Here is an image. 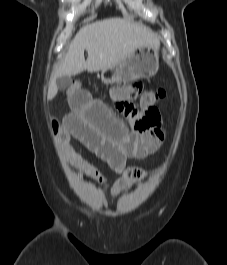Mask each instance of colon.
<instances>
[{
	"mask_svg": "<svg viewBox=\"0 0 227 265\" xmlns=\"http://www.w3.org/2000/svg\"><path fill=\"white\" fill-rule=\"evenodd\" d=\"M70 87H81V85L78 82L72 83L66 89L67 96H70ZM137 88V86H130L128 88L117 87L113 89L112 97L114 103H116V100H119V103H121V99H129L137 91ZM166 94L167 92L163 88L146 91L141 95L139 106H134L135 112H122L131 120L136 132L144 133L160 127L161 117L156 104L163 100ZM52 126L54 131L61 136L62 128L59 123L53 121Z\"/></svg>",
	"mask_w": 227,
	"mask_h": 265,
	"instance_id": "1",
	"label": "colon"
}]
</instances>
